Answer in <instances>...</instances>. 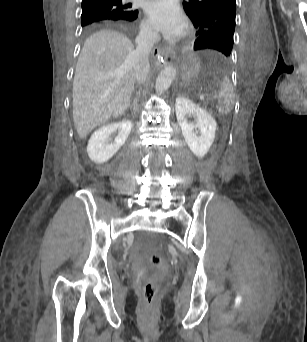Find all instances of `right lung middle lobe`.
<instances>
[{"mask_svg": "<svg viewBox=\"0 0 307 342\" xmlns=\"http://www.w3.org/2000/svg\"><path fill=\"white\" fill-rule=\"evenodd\" d=\"M116 15V12L109 9H87L82 10L81 25H87L98 20L111 18Z\"/></svg>", "mask_w": 307, "mask_h": 342, "instance_id": "obj_1", "label": "right lung middle lobe"}]
</instances>
